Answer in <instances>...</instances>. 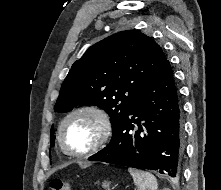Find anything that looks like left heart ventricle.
Masks as SVG:
<instances>
[{"instance_id":"left-heart-ventricle-1","label":"left heart ventricle","mask_w":221,"mask_h":190,"mask_svg":"<svg viewBox=\"0 0 221 190\" xmlns=\"http://www.w3.org/2000/svg\"><path fill=\"white\" fill-rule=\"evenodd\" d=\"M97 133V120L90 114H78L66 123L63 140L68 148L83 151L94 143Z\"/></svg>"}]
</instances>
